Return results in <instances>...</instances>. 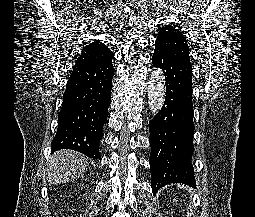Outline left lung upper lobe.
<instances>
[{"mask_svg": "<svg viewBox=\"0 0 255 217\" xmlns=\"http://www.w3.org/2000/svg\"><path fill=\"white\" fill-rule=\"evenodd\" d=\"M155 46L190 62V49L183 32L171 25H165L160 29Z\"/></svg>", "mask_w": 255, "mask_h": 217, "instance_id": "left-lung-upper-lobe-1", "label": "left lung upper lobe"}]
</instances>
